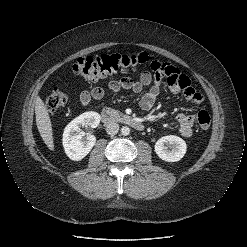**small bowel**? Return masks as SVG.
<instances>
[{
    "instance_id": "obj_1",
    "label": "small bowel",
    "mask_w": 247,
    "mask_h": 247,
    "mask_svg": "<svg viewBox=\"0 0 247 247\" xmlns=\"http://www.w3.org/2000/svg\"><path fill=\"white\" fill-rule=\"evenodd\" d=\"M152 70L155 73L154 76L150 72L144 71L140 74L137 81L132 80L130 77H122L119 80H105L103 85L114 93L122 89L140 93L144 87H149L148 92L143 95L139 102L141 109L148 111L153 107L160 95L163 78L167 77L169 88L173 94H182L189 103L194 105H200L203 102V95L192 87L189 78L182 74L175 66L169 63L154 61ZM103 96L104 88L97 86L91 91H83L80 94V101L82 105L87 106L92 99L99 100ZM194 120L193 115L185 113H178L176 115L179 133L183 137H190L192 135Z\"/></svg>"
}]
</instances>
